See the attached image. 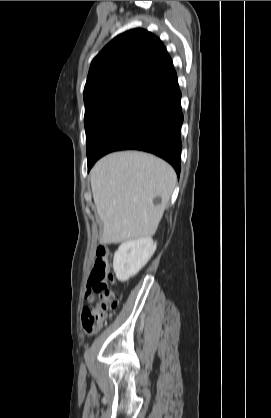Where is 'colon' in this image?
<instances>
[{"mask_svg":"<svg viewBox=\"0 0 271 418\" xmlns=\"http://www.w3.org/2000/svg\"><path fill=\"white\" fill-rule=\"evenodd\" d=\"M89 284L86 294L88 305L83 310L82 323L86 333L92 334L103 326L117 306L115 293L110 287L113 277L110 272L109 252L105 246L97 248Z\"/></svg>","mask_w":271,"mask_h":418,"instance_id":"1","label":"colon"}]
</instances>
